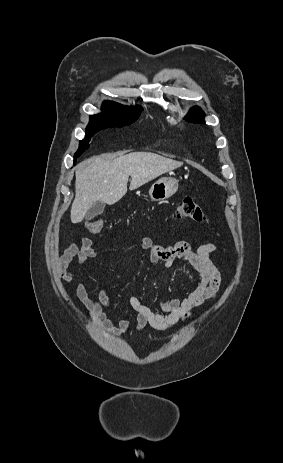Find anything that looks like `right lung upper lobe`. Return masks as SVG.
I'll return each mask as SVG.
<instances>
[{"label":"right lung upper lobe","mask_w":283,"mask_h":463,"mask_svg":"<svg viewBox=\"0 0 283 463\" xmlns=\"http://www.w3.org/2000/svg\"><path fill=\"white\" fill-rule=\"evenodd\" d=\"M104 105H121V104L106 101V102H104Z\"/></svg>","instance_id":"obj_1"}]
</instances>
